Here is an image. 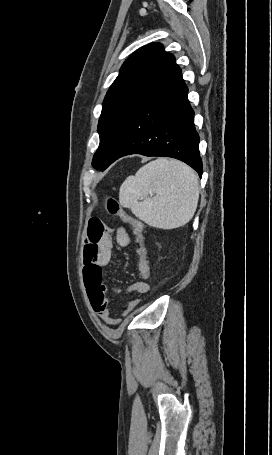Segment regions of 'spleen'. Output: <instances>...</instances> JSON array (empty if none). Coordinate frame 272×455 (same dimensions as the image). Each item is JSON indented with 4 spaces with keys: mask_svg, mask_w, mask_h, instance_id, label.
Masks as SVG:
<instances>
[{
    "mask_svg": "<svg viewBox=\"0 0 272 455\" xmlns=\"http://www.w3.org/2000/svg\"><path fill=\"white\" fill-rule=\"evenodd\" d=\"M199 191L193 169L174 159L159 158L126 178L119 190V201L149 226L173 229L193 218Z\"/></svg>",
    "mask_w": 272,
    "mask_h": 455,
    "instance_id": "1",
    "label": "spleen"
}]
</instances>
